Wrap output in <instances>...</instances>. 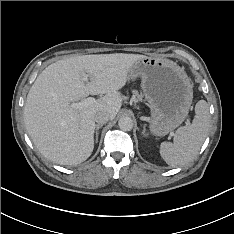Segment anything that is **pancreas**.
<instances>
[{"label":"pancreas","mask_w":234,"mask_h":234,"mask_svg":"<svg viewBox=\"0 0 234 234\" xmlns=\"http://www.w3.org/2000/svg\"><path fill=\"white\" fill-rule=\"evenodd\" d=\"M132 92H133V94H134V97H137L139 100L142 99V97L139 95L138 91L133 90Z\"/></svg>","instance_id":"pancreas-1"}]
</instances>
